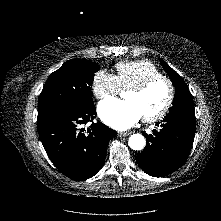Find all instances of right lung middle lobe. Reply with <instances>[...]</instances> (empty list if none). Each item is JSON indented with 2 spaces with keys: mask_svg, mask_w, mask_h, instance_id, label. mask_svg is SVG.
Listing matches in <instances>:
<instances>
[{
  "mask_svg": "<svg viewBox=\"0 0 221 221\" xmlns=\"http://www.w3.org/2000/svg\"><path fill=\"white\" fill-rule=\"evenodd\" d=\"M99 66L86 59H71L47 79L38 100V110L68 102L92 100V82Z\"/></svg>",
  "mask_w": 221,
  "mask_h": 221,
  "instance_id": "1",
  "label": "right lung middle lobe"
}]
</instances>
